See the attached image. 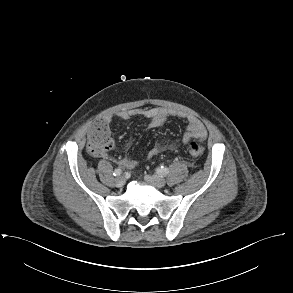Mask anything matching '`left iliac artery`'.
<instances>
[{"label":"left iliac artery","instance_id":"1","mask_svg":"<svg viewBox=\"0 0 293 293\" xmlns=\"http://www.w3.org/2000/svg\"><path fill=\"white\" fill-rule=\"evenodd\" d=\"M156 171L160 176H165L169 173V169L163 166L159 167Z\"/></svg>","mask_w":293,"mask_h":293}]
</instances>
